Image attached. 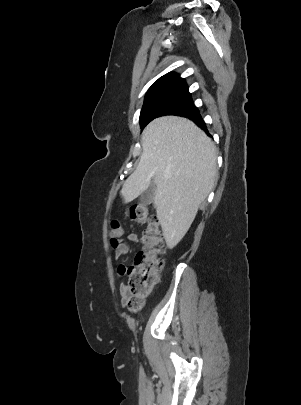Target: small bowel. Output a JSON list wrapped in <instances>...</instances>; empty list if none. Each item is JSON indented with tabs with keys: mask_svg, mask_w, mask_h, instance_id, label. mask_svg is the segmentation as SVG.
<instances>
[{
	"mask_svg": "<svg viewBox=\"0 0 301 405\" xmlns=\"http://www.w3.org/2000/svg\"><path fill=\"white\" fill-rule=\"evenodd\" d=\"M126 239H127L128 241H130V242H133V243L139 242V238H138V236H137L135 233H129V234L126 236ZM113 248H114V251H115V257H116V258H120V257H122V256H124V255H126V254L129 253V246H128V244H127L125 241L121 240V239H117V241L115 242V245L113 246ZM128 270H129V267H128V266H126V265H124V264H120V265L118 266V268H117V274H118V276H121V277H122V276H125V275L128 274ZM119 292H120V296H121V298H122V301L124 302L125 299H126V297H127V289H126V286H125V285H121V286H120V289H119Z\"/></svg>",
	"mask_w": 301,
	"mask_h": 405,
	"instance_id": "1",
	"label": "small bowel"
}]
</instances>
